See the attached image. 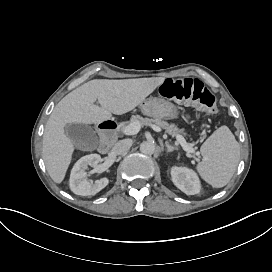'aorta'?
I'll use <instances>...</instances> for the list:
<instances>
[{
	"label": "aorta",
	"mask_w": 272,
	"mask_h": 272,
	"mask_svg": "<svg viewBox=\"0 0 272 272\" xmlns=\"http://www.w3.org/2000/svg\"><path fill=\"white\" fill-rule=\"evenodd\" d=\"M156 146L155 143L152 141H146L141 143L140 151L145 155H153L155 153Z\"/></svg>",
	"instance_id": "aorta-1"
}]
</instances>
